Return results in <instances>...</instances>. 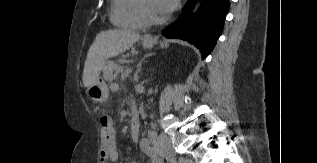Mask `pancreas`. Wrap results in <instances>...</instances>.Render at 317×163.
Wrapping results in <instances>:
<instances>
[{
	"label": "pancreas",
	"instance_id": "cf45deb5",
	"mask_svg": "<svg viewBox=\"0 0 317 163\" xmlns=\"http://www.w3.org/2000/svg\"><path fill=\"white\" fill-rule=\"evenodd\" d=\"M122 70L114 61H108L103 68V77L106 81L112 82Z\"/></svg>",
	"mask_w": 317,
	"mask_h": 163
}]
</instances>
